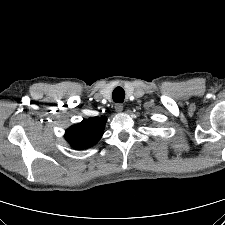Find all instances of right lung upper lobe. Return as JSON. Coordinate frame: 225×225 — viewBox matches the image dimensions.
<instances>
[{
	"label": "right lung upper lobe",
	"mask_w": 225,
	"mask_h": 225,
	"mask_svg": "<svg viewBox=\"0 0 225 225\" xmlns=\"http://www.w3.org/2000/svg\"><path fill=\"white\" fill-rule=\"evenodd\" d=\"M106 118L92 117L71 126L65 132V139L75 149L91 147L99 141L104 133Z\"/></svg>",
	"instance_id": "cb5924a9"
}]
</instances>
